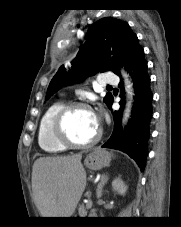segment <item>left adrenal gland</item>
<instances>
[{
  "mask_svg": "<svg viewBox=\"0 0 181 227\" xmlns=\"http://www.w3.org/2000/svg\"><path fill=\"white\" fill-rule=\"evenodd\" d=\"M108 181V176L106 174H102L100 182L97 186V198L100 199L102 197L103 187Z\"/></svg>",
  "mask_w": 181,
  "mask_h": 227,
  "instance_id": "1",
  "label": "left adrenal gland"
}]
</instances>
